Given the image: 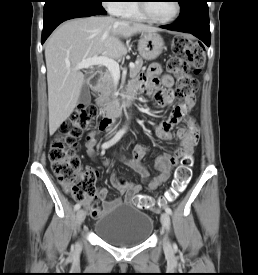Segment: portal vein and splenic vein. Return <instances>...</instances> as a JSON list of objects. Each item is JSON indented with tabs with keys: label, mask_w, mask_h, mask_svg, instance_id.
Returning a JSON list of instances; mask_svg holds the SVG:
<instances>
[{
	"label": "portal vein and splenic vein",
	"mask_w": 258,
	"mask_h": 275,
	"mask_svg": "<svg viewBox=\"0 0 258 275\" xmlns=\"http://www.w3.org/2000/svg\"><path fill=\"white\" fill-rule=\"evenodd\" d=\"M93 65H99V66H105L108 68L114 79L120 78V69L119 64L111 58L105 57V56H93L91 58H87L82 60L77 66L76 69H88L89 67ZM135 64L130 63L129 68H134Z\"/></svg>",
	"instance_id": "1"
}]
</instances>
